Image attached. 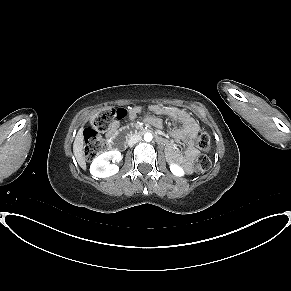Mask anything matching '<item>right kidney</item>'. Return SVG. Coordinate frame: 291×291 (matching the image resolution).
I'll use <instances>...</instances> for the list:
<instances>
[{
	"mask_svg": "<svg viewBox=\"0 0 291 291\" xmlns=\"http://www.w3.org/2000/svg\"><path fill=\"white\" fill-rule=\"evenodd\" d=\"M121 160V153L118 150L104 152L96 157L90 166V173L93 177L105 178L116 174L119 171V167L116 164H110L119 162Z\"/></svg>",
	"mask_w": 291,
	"mask_h": 291,
	"instance_id": "right-kidney-1",
	"label": "right kidney"
}]
</instances>
